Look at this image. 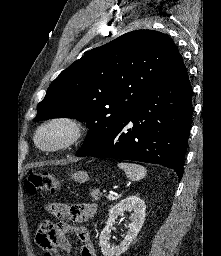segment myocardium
I'll list each match as a JSON object with an SVG mask.
<instances>
[{
    "instance_id": "1",
    "label": "myocardium",
    "mask_w": 221,
    "mask_h": 256,
    "mask_svg": "<svg viewBox=\"0 0 221 256\" xmlns=\"http://www.w3.org/2000/svg\"><path fill=\"white\" fill-rule=\"evenodd\" d=\"M54 127L65 130V138L53 145L42 143L40 141V135L44 131ZM86 129V124L81 118L70 114H60L46 119L37 127L34 133V142L39 148L45 151H62L76 145L84 137Z\"/></svg>"
}]
</instances>
